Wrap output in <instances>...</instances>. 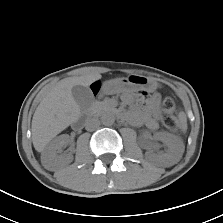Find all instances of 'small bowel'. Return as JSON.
Returning <instances> with one entry per match:
<instances>
[{"label": "small bowel", "mask_w": 223, "mask_h": 223, "mask_svg": "<svg viewBox=\"0 0 223 223\" xmlns=\"http://www.w3.org/2000/svg\"><path fill=\"white\" fill-rule=\"evenodd\" d=\"M140 104L145 108L146 113L142 116H132L130 120L133 123H145L150 129L158 127L160 118L161 98L158 93L144 95L140 98Z\"/></svg>", "instance_id": "small-bowel-1"}]
</instances>
